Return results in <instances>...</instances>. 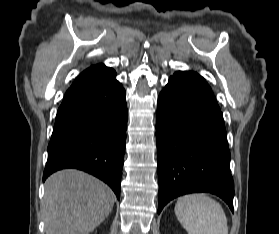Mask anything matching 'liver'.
Segmentation results:
<instances>
[{
	"label": "liver",
	"instance_id": "liver-1",
	"mask_svg": "<svg viewBox=\"0 0 279 234\" xmlns=\"http://www.w3.org/2000/svg\"><path fill=\"white\" fill-rule=\"evenodd\" d=\"M116 198L103 182L68 169L45 183L43 212L46 234H89L111 212Z\"/></svg>",
	"mask_w": 279,
	"mask_h": 234
}]
</instances>
